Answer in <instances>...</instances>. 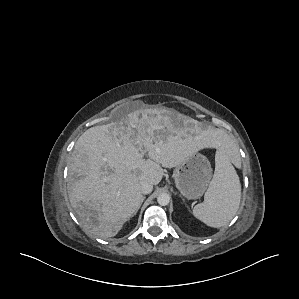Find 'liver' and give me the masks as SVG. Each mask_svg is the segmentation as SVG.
<instances>
[{
	"instance_id": "liver-1",
	"label": "liver",
	"mask_w": 299,
	"mask_h": 299,
	"mask_svg": "<svg viewBox=\"0 0 299 299\" xmlns=\"http://www.w3.org/2000/svg\"><path fill=\"white\" fill-rule=\"evenodd\" d=\"M227 139L219 129L188 135L165 109L136 110L91 127L72 152L67 183L71 206L90 234L113 237L140 208L142 181L157 185L162 167H177L209 144L225 147Z\"/></svg>"
}]
</instances>
